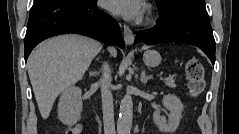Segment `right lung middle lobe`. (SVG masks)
<instances>
[{
  "mask_svg": "<svg viewBox=\"0 0 239 134\" xmlns=\"http://www.w3.org/2000/svg\"><path fill=\"white\" fill-rule=\"evenodd\" d=\"M40 0H35V3L39 2Z\"/></svg>",
  "mask_w": 239,
  "mask_h": 134,
  "instance_id": "obj_1",
  "label": "right lung middle lobe"
}]
</instances>
